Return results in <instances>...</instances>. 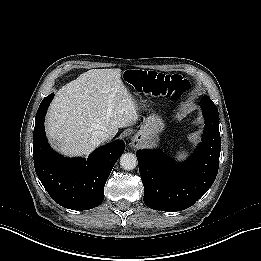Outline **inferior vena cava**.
Returning <instances> with one entry per match:
<instances>
[{
    "mask_svg": "<svg viewBox=\"0 0 261 261\" xmlns=\"http://www.w3.org/2000/svg\"><path fill=\"white\" fill-rule=\"evenodd\" d=\"M109 139H110V135L108 133L104 131H98V130L94 131L91 137L92 143L95 146H99L100 144L106 142Z\"/></svg>",
    "mask_w": 261,
    "mask_h": 261,
    "instance_id": "inferior-vena-cava-1",
    "label": "inferior vena cava"
}]
</instances>
